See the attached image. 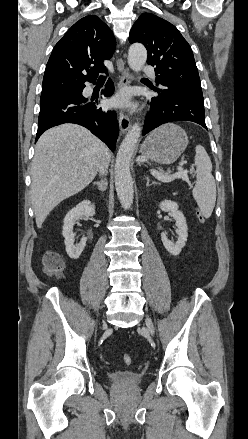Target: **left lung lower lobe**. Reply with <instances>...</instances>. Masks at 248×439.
<instances>
[{
    "instance_id": "1",
    "label": "left lung lower lobe",
    "mask_w": 248,
    "mask_h": 439,
    "mask_svg": "<svg viewBox=\"0 0 248 439\" xmlns=\"http://www.w3.org/2000/svg\"><path fill=\"white\" fill-rule=\"evenodd\" d=\"M158 93L150 102L143 135L156 127L172 121H192L207 129L202 94L162 85L152 88Z\"/></svg>"
}]
</instances>
